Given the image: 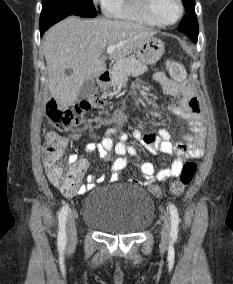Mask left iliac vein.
<instances>
[{"instance_id": "1", "label": "left iliac vein", "mask_w": 233, "mask_h": 284, "mask_svg": "<svg viewBox=\"0 0 233 284\" xmlns=\"http://www.w3.org/2000/svg\"><path fill=\"white\" fill-rule=\"evenodd\" d=\"M163 227L161 231V241L163 245H168L170 241V233H171V221L168 214H164L163 216Z\"/></svg>"}]
</instances>
